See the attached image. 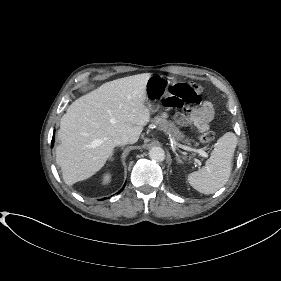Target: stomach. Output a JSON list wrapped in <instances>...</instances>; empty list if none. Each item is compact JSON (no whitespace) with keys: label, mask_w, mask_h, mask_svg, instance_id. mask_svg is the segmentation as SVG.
Segmentation results:
<instances>
[{"label":"stomach","mask_w":281,"mask_h":281,"mask_svg":"<svg viewBox=\"0 0 281 281\" xmlns=\"http://www.w3.org/2000/svg\"><path fill=\"white\" fill-rule=\"evenodd\" d=\"M170 80L162 75H150L146 83V102L148 109L156 112L160 107V100L167 92Z\"/></svg>","instance_id":"obj_1"}]
</instances>
